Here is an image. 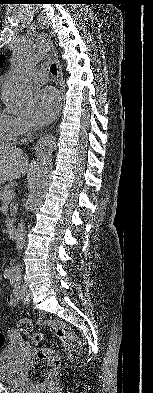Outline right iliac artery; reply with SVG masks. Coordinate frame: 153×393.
<instances>
[{
    "mask_svg": "<svg viewBox=\"0 0 153 393\" xmlns=\"http://www.w3.org/2000/svg\"><path fill=\"white\" fill-rule=\"evenodd\" d=\"M11 275H12V272H11V271H7V270H6V271L4 272V277H5V278H8V277L11 276Z\"/></svg>",
    "mask_w": 153,
    "mask_h": 393,
    "instance_id": "82829eb1",
    "label": "right iliac artery"
}]
</instances>
